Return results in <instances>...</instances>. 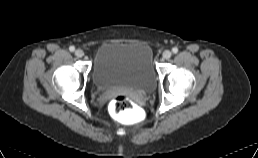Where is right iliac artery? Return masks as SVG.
Instances as JSON below:
<instances>
[{
    "label": "right iliac artery",
    "instance_id": "right-iliac-artery-1",
    "mask_svg": "<svg viewBox=\"0 0 258 158\" xmlns=\"http://www.w3.org/2000/svg\"><path fill=\"white\" fill-rule=\"evenodd\" d=\"M69 50H70L71 52H73V51L75 50V47H74V46H70V47H69Z\"/></svg>",
    "mask_w": 258,
    "mask_h": 158
}]
</instances>
